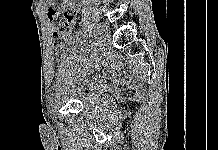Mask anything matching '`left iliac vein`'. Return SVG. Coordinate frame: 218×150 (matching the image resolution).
Returning <instances> with one entry per match:
<instances>
[{
    "label": "left iliac vein",
    "mask_w": 218,
    "mask_h": 150,
    "mask_svg": "<svg viewBox=\"0 0 218 150\" xmlns=\"http://www.w3.org/2000/svg\"><path fill=\"white\" fill-rule=\"evenodd\" d=\"M97 32L99 34V43L102 46H107L108 43V34L106 30V26L102 23H98L97 25ZM99 62L102 60L100 57L97 59ZM92 69L95 67L93 64L90 66Z\"/></svg>",
    "instance_id": "1"
}]
</instances>
